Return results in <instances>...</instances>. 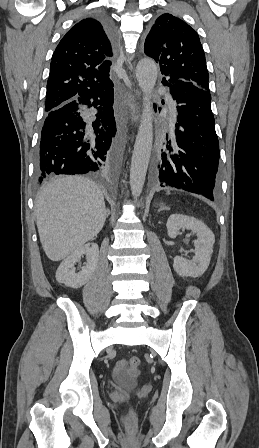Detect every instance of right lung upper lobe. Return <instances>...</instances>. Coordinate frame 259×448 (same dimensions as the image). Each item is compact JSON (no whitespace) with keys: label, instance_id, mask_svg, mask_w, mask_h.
I'll use <instances>...</instances> for the list:
<instances>
[{"label":"right lung upper lobe","instance_id":"right-lung-upper-lobe-1","mask_svg":"<svg viewBox=\"0 0 259 448\" xmlns=\"http://www.w3.org/2000/svg\"><path fill=\"white\" fill-rule=\"evenodd\" d=\"M113 59V42L101 22L86 18L75 24L53 53L45 112L112 87Z\"/></svg>","mask_w":259,"mask_h":448}]
</instances>
